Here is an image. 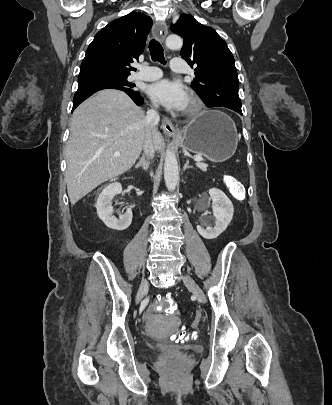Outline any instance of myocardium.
<instances>
[{
    "label": "myocardium",
    "mask_w": 332,
    "mask_h": 405,
    "mask_svg": "<svg viewBox=\"0 0 332 405\" xmlns=\"http://www.w3.org/2000/svg\"><path fill=\"white\" fill-rule=\"evenodd\" d=\"M201 109V102L198 97L195 95H191L188 101L187 108L185 110V115L187 116H194L196 115Z\"/></svg>",
    "instance_id": "1"
}]
</instances>
